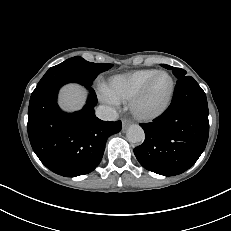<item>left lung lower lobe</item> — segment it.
Listing matches in <instances>:
<instances>
[{
  "instance_id": "left-lung-lower-lobe-1",
  "label": "left lung lower lobe",
  "mask_w": 231,
  "mask_h": 231,
  "mask_svg": "<svg viewBox=\"0 0 231 231\" xmlns=\"http://www.w3.org/2000/svg\"><path fill=\"white\" fill-rule=\"evenodd\" d=\"M140 125L146 138L134 149L139 163L160 175L181 174L195 164L208 141L206 95L192 77H181L166 112Z\"/></svg>"
}]
</instances>
